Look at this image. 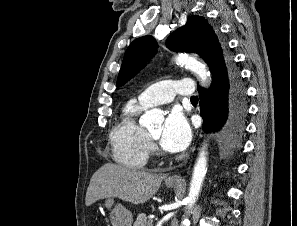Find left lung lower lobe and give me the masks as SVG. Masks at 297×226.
<instances>
[{"label": "left lung lower lobe", "mask_w": 297, "mask_h": 226, "mask_svg": "<svg viewBox=\"0 0 297 226\" xmlns=\"http://www.w3.org/2000/svg\"><path fill=\"white\" fill-rule=\"evenodd\" d=\"M198 90L203 128L209 131L223 128L226 146L238 149L245 130L247 105L245 90L232 60L227 69L212 77L208 91L200 87Z\"/></svg>", "instance_id": "0a47b994"}]
</instances>
